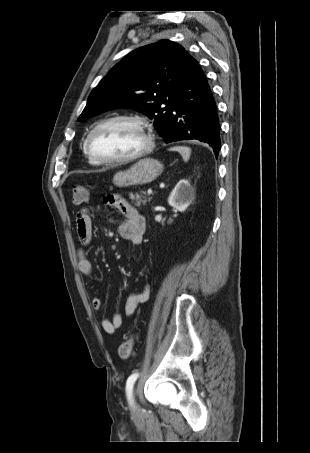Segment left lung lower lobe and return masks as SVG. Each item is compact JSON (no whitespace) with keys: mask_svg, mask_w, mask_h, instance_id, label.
I'll return each mask as SVG.
<instances>
[{"mask_svg":"<svg viewBox=\"0 0 310 453\" xmlns=\"http://www.w3.org/2000/svg\"><path fill=\"white\" fill-rule=\"evenodd\" d=\"M220 130L213 93L204 72L192 58L187 77L160 135L166 143L180 140L207 143L217 157L221 148Z\"/></svg>","mask_w":310,"mask_h":453,"instance_id":"obj_1","label":"left lung lower lobe"}]
</instances>
